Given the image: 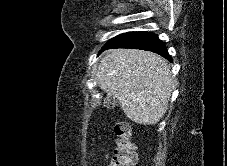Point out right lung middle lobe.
I'll list each match as a JSON object with an SVG mask.
<instances>
[{
	"label": "right lung middle lobe",
	"mask_w": 227,
	"mask_h": 166,
	"mask_svg": "<svg viewBox=\"0 0 227 166\" xmlns=\"http://www.w3.org/2000/svg\"><path fill=\"white\" fill-rule=\"evenodd\" d=\"M128 33H129V32H128ZM128 33L120 34V35H118V36L112 38L111 40H109V42H107V44H106L105 46H107V45H109V44H111V43L117 41L118 39L122 38L123 36L127 35ZM105 46H104V47H105ZM104 47H103V48H104Z\"/></svg>",
	"instance_id": "right-lung-middle-lobe-1"
}]
</instances>
